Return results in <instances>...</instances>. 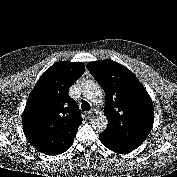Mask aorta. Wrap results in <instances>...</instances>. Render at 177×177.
<instances>
[{
    "instance_id": "762f6f07",
    "label": "aorta",
    "mask_w": 177,
    "mask_h": 177,
    "mask_svg": "<svg viewBox=\"0 0 177 177\" xmlns=\"http://www.w3.org/2000/svg\"><path fill=\"white\" fill-rule=\"evenodd\" d=\"M86 97L94 104H100L103 103V93L101 92L98 85L94 83H89L86 86ZM98 127H99V123ZM106 123L104 122V125Z\"/></svg>"
}]
</instances>
